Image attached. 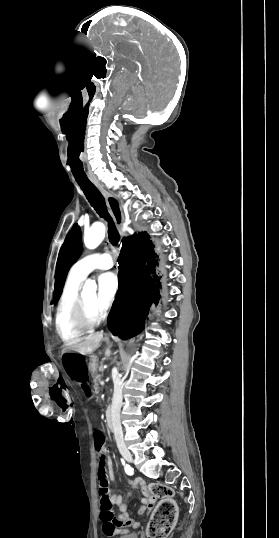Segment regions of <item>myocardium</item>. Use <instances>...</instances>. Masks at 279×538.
<instances>
[{"label":"myocardium","instance_id":"obj_1","mask_svg":"<svg viewBox=\"0 0 279 538\" xmlns=\"http://www.w3.org/2000/svg\"><path fill=\"white\" fill-rule=\"evenodd\" d=\"M101 318V312L92 308L84 293H80L78 299L70 308L68 322L74 329L89 330L98 324Z\"/></svg>","mask_w":279,"mask_h":538}]
</instances>
